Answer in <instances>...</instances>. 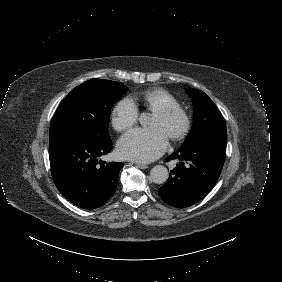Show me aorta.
Segmentation results:
<instances>
[{"mask_svg": "<svg viewBox=\"0 0 282 282\" xmlns=\"http://www.w3.org/2000/svg\"><path fill=\"white\" fill-rule=\"evenodd\" d=\"M139 122L142 125H148L150 122V117L146 113H142L139 116ZM168 177V170L163 165H156L150 171V179L156 184H163L167 181Z\"/></svg>", "mask_w": 282, "mask_h": 282, "instance_id": "obj_1", "label": "aorta"}]
</instances>
